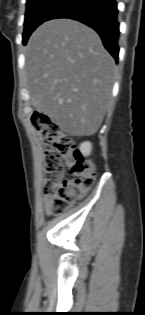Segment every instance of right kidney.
<instances>
[{"label":"right kidney","mask_w":145,"mask_h":315,"mask_svg":"<svg viewBox=\"0 0 145 315\" xmlns=\"http://www.w3.org/2000/svg\"><path fill=\"white\" fill-rule=\"evenodd\" d=\"M92 150V145L90 142H84L80 145V151L84 156H89Z\"/></svg>","instance_id":"right-kidney-1"}]
</instances>
